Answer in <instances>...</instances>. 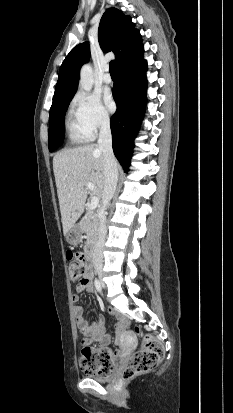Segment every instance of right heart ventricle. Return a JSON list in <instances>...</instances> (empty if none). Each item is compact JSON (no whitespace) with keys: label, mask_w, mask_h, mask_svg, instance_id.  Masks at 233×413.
<instances>
[{"label":"right heart ventricle","mask_w":233,"mask_h":413,"mask_svg":"<svg viewBox=\"0 0 233 413\" xmlns=\"http://www.w3.org/2000/svg\"><path fill=\"white\" fill-rule=\"evenodd\" d=\"M65 129L71 144H83L91 139L84 129L75 107H71L66 115Z\"/></svg>","instance_id":"obj_1"}]
</instances>
